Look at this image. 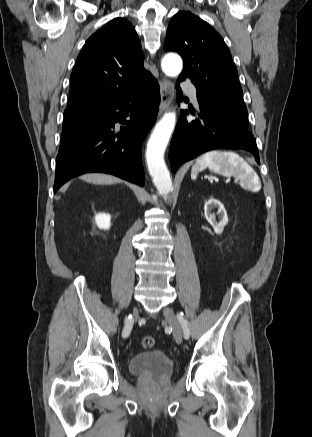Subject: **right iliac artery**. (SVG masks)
Returning <instances> with one entry per match:
<instances>
[{"label": "right iliac artery", "mask_w": 312, "mask_h": 437, "mask_svg": "<svg viewBox=\"0 0 312 437\" xmlns=\"http://www.w3.org/2000/svg\"><path fill=\"white\" fill-rule=\"evenodd\" d=\"M132 324H133V318L132 315H129L125 320V327L122 333L123 337H127L130 334V331L132 329Z\"/></svg>", "instance_id": "1"}]
</instances>
